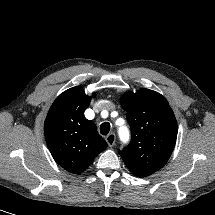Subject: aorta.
Returning <instances> with one entry per match:
<instances>
[{"instance_id":"1","label":"aorta","mask_w":215,"mask_h":215,"mask_svg":"<svg viewBox=\"0 0 215 215\" xmlns=\"http://www.w3.org/2000/svg\"><path fill=\"white\" fill-rule=\"evenodd\" d=\"M118 133L122 141H127L129 139V131L126 126L119 127Z\"/></svg>"}]
</instances>
